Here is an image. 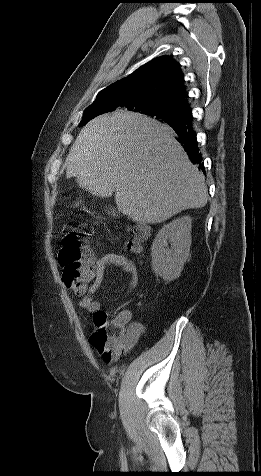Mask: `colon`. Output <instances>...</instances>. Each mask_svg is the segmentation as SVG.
<instances>
[{
  "label": "colon",
  "mask_w": 261,
  "mask_h": 476,
  "mask_svg": "<svg viewBox=\"0 0 261 476\" xmlns=\"http://www.w3.org/2000/svg\"><path fill=\"white\" fill-rule=\"evenodd\" d=\"M135 234L141 239L147 235V232L144 229H138ZM128 249L133 252L139 251V240L128 242ZM59 261L63 267L62 280L68 289L77 292L89 284L93 271L92 257L82 246L77 233L72 232L64 237ZM123 339V332L108 324L104 312L100 311L94 315V328L90 342L101 355H110L123 342Z\"/></svg>",
  "instance_id": "colon-1"
}]
</instances>
